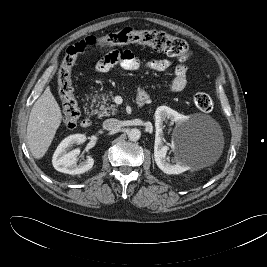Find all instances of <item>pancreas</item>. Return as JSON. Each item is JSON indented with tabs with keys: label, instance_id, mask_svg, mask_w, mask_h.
Here are the masks:
<instances>
[{
	"label": "pancreas",
	"instance_id": "1",
	"mask_svg": "<svg viewBox=\"0 0 267 267\" xmlns=\"http://www.w3.org/2000/svg\"><path fill=\"white\" fill-rule=\"evenodd\" d=\"M112 97V92L104 93L99 97H94L92 102H97V104L95 105V109L92 110V113L97 114L98 117L115 115L118 111L117 106L115 104L109 105L108 103Z\"/></svg>",
	"mask_w": 267,
	"mask_h": 267
}]
</instances>
